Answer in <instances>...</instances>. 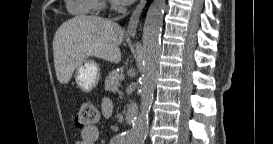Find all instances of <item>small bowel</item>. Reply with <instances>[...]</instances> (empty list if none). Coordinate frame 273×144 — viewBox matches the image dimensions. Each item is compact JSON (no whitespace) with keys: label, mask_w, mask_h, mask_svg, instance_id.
<instances>
[{"label":"small bowel","mask_w":273,"mask_h":144,"mask_svg":"<svg viewBox=\"0 0 273 144\" xmlns=\"http://www.w3.org/2000/svg\"><path fill=\"white\" fill-rule=\"evenodd\" d=\"M102 115L110 117L113 112V105L110 101L105 100L101 106ZM99 138V129L96 126H90L80 131V139L76 144H95Z\"/></svg>","instance_id":"c3829d8e"}]
</instances>
